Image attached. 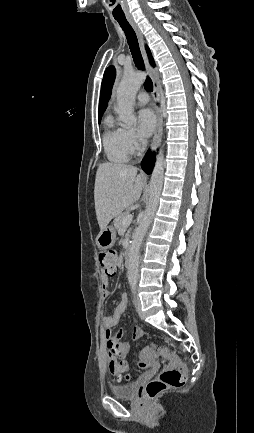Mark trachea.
Segmentation results:
<instances>
[{
    "mask_svg": "<svg viewBox=\"0 0 254 433\" xmlns=\"http://www.w3.org/2000/svg\"><path fill=\"white\" fill-rule=\"evenodd\" d=\"M119 25L121 26L122 30L125 33L126 39L128 41V45L134 60V63L136 67L140 70H145L143 58L140 52L138 40L135 34V31L133 30L132 26L129 24L126 18H115ZM144 87L148 92L153 91V84L149 77L146 78V81L144 83Z\"/></svg>",
    "mask_w": 254,
    "mask_h": 433,
    "instance_id": "1",
    "label": "trachea"
}]
</instances>
